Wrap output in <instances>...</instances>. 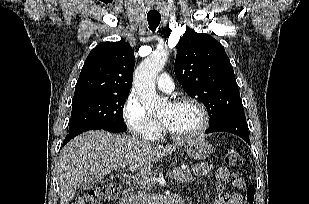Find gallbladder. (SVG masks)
Wrapping results in <instances>:
<instances>
[{
    "instance_id": "1",
    "label": "gallbladder",
    "mask_w": 309,
    "mask_h": 204,
    "mask_svg": "<svg viewBox=\"0 0 309 204\" xmlns=\"http://www.w3.org/2000/svg\"><path fill=\"white\" fill-rule=\"evenodd\" d=\"M102 181L101 176H86L78 182L77 188L79 190H88L93 188L96 184Z\"/></svg>"
}]
</instances>
